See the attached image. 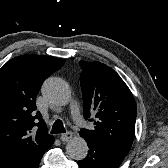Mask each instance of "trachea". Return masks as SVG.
Returning <instances> with one entry per match:
<instances>
[{"label":"trachea","mask_w":168,"mask_h":168,"mask_svg":"<svg viewBox=\"0 0 168 168\" xmlns=\"http://www.w3.org/2000/svg\"><path fill=\"white\" fill-rule=\"evenodd\" d=\"M65 132L66 131H65L63 122L60 119H57L52 126L51 133L57 134V133H65Z\"/></svg>","instance_id":"3493384b"}]
</instances>
